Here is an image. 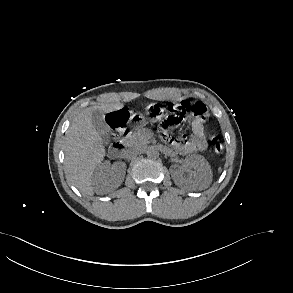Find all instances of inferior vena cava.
Segmentation results:
<instances>
[{
	"instance_id": "inferior-vena-cava-1",
	"label": "inferior vena cava",
	"mask_w": 293,
	"mask_h": 293,
	"mask_svg": "<svg viewBox=\"0 0 293 293\" xmlns=\"http://www.w3.org/2000/svg\"><path fill=\"white\" fill-rule=\"evenodd\" d=\"M139 152H140V148L133 147V148H129V149L125 150L123 155L126 157H131V156H135V155L139 154Z\"/></svg>"
}]
</instances>
